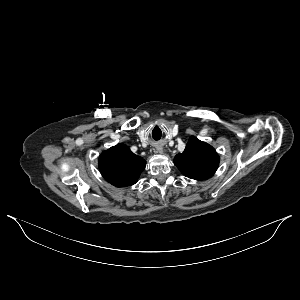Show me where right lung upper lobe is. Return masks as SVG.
<instances>
[{
    "label": "right lung upper lobe",
    "instance_id": "obj_1",
    "mask_svg": "<svg viewBox=\"0 0 300 300\" xmlns=\"http://www.w3.org/2000/svg\"><path fill=\"white\" fill-rule=\"evenodd\" d=\"M145 166L146 161L123 144L109 148L99 157V170L102 176L116 187L135 184Z\"/></svg>",
    "mask_w": 300,
    "mask_h": 300
}]
</instances>
